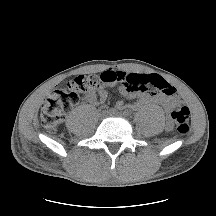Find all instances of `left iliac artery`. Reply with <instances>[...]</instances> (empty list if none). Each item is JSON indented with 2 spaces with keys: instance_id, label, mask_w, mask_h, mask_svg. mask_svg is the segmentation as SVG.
I'll list each match as a JSON object with an SVG mask.
<instances>
[{
  "instance_id": "1",
  "label": "left iliac artery",
  "mask_w": 216,
  "mask_h": 216,
  "mask_svg": "<svg viewBox=\"0 0 216 216\" xmlns=\"http://www.w3.org/2000/svg\"><path fill=\"white\" fill-rule=\"evenodd\" d=\"M123 115H124V116H129V112H128L127 110H125V111L123 112Z\"/></svg>"
}]
</instances>
